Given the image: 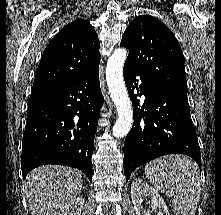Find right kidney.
<instances>
[{
  "label": "right kidney",
  "mask_w": 221,
  "mask_h": 215,
  "mask_svg": "<svg viewBox=\"0 0 221 215\" xmlns=\"http://www.w3.org/2000/svg\"><path fill=\"white\" fill-rule=\"evenodd\" d=\"M84 206V198L77 197L69 201L55 215H81Z\"/></svg>",
  "instance_id": "ca27d5eb"
}]
</instances>
